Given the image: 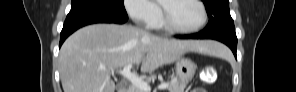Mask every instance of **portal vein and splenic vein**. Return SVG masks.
Here are the masks:
<instances>
[{
	"instance_id": "portal-vein-and-splenic-vein-1",
	"label": "portal vein and splenic vein",
	"mask_w": 296,
	"mask_h": 92,
	"mask_svg": "<svg viewBox=\"0 0 296 92\" xmlns=\"http://www.w3.org/2000/svg\"><path fill=\"white\" fill-rule=\"evenodd\" d=\"M132 64L126 65L122 70L117 71L121 75H123L126 79H128L135 87L143 90L144 92H150L151 88L149 84L142 79H140L137 75L131 72ZM168 87V83H161L158 88L165 89Z\"/></svg>"
}]
</instances>
